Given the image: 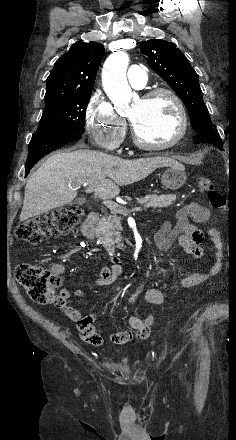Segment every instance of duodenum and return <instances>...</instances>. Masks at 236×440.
I'll return each instance as SVG.
<instances>
[{"instance_id":"duodenum-1","label":"duodenum","mask_w":236,"mask_h":440,"mask_svg":"<svg viewBox=\"0 0 236 440\" xmlns=\"http://www.w3.org/2000/svg\"><path fill=\"white\" fill-rule=\"evenodd\" d=\"M99 220V214L97 212H90L82 224V234L90 242L96 241V226ZM114 263H118L117 258L112 259Z\"/></svg>"}]
</instances>
